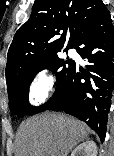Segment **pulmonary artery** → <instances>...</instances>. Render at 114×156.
Listing matches in <instances>:
<instances>
[{
    "instance_id": "1",
    "label": "pulmonary artery",
    "mask_w": 114,
    "mask_h": 156,
    "mask_svg": "<svg viewBox=\"0 0 114 156\" xmlns=\"http://www.w3.org/2000/svg\"><path fill=\"white\" fill-rule=\"evenodd\" d=\"M73 54V52L72 51H68V55H72Z\"/></svg>"
}]
</instances>
